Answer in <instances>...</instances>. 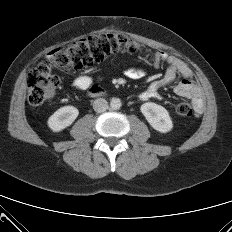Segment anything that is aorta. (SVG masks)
Segmentation results:
<instances>
[{
	"instance_id": "aorta-1",
	"label": "aorta",
	"mask_w": 232,
	"mask_h": 232,
	"mask_svg": "<svg viewBox=\"0 0 232 232\" xmlns=\"http://www.w3.org/2000/svg\"><path fill=\"white\" fill-rule=\"evenodd\" d=\"M110 107L114 110L120 109L121 101L119 98H112L110 101Z\"/></svg>"
}]
</instances>
